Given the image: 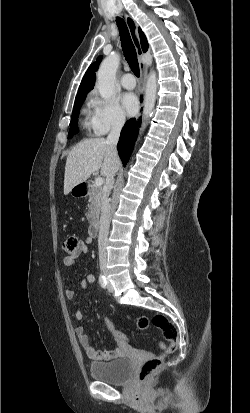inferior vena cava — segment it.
<instances>
[{
	"label": "inferior vena cava",
	"mask_w": 250,
	"mask_h": 413,
	"mask_svg": "<svg viewBox=\"0 0 250 413\" xmlns=\"http://www.w3.org/2000/svg\"><path fill=\"white\" fill-rule=\"evenodd\" d=\"M125 123V118L120 117L118 118L112 128L111 131L106 139V143L109 147L113 150L114 154H117L116 145L118 143L120 132ZM114 174L115 172H111L106 179V185L103 192L102 198V207H101V217H100V227H99V236H98V249H99V262L100 267L104 269L107 264L106 259V245L108 242V234H109V224H110V214H111V207L109 203V194L113 188L114 184Z\"/></svg>",
	"instance_id": "1"
}]
</instances>
